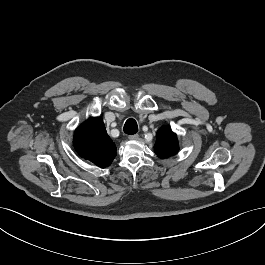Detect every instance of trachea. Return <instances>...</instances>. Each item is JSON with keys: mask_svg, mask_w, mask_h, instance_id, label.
Wrapping results in <instances>:
<instances>
[{"mask_svg": "<svg viewBox=\"0 0 265 265\" xmlns=\"http://www.w3.org/2000/svg\"><path fill=\"white\" fill-rule=\"evenodd\" d=\"M123 131L126 133V134H129V135H133V134H136L138 132V125H137V122L130 118L128 119L126 122H125V125L123 127Z\"/></svg>", "mask_w": 265, "mask_h": 265, "instance_id": "trachea-1", "label": "trachea"}]
</instances>
